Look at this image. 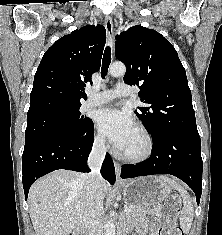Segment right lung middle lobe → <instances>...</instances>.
I'll return each mask as SVG.
<instances>
[{"instance_id":"obj_1","label":"right lung middle lobe","mask_w":222,"mask_h":235,"mask_svg":"<svg viewBox=\"0 0 222 235\" xmlns=\"http://www.w3.org/2000/svg\"><path fill=\"white\" fill-rule=\"evenodd\" d=\"M80 106L81 104L57 107L27 117L25 146L50 137L75 138L82 135L93 122L81 116Z\"/></svg>"}]
</instances>
